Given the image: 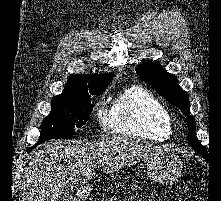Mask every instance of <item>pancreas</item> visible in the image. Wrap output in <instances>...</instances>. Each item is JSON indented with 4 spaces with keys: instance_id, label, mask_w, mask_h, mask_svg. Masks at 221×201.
<instances>
[{
    "instance_id": "1",
    "label": "pancreas",
    "mask_w": 221,
    "mask_h": 201,
    "mask_svg": "<svg viewBox=\"0 0 221 201\" xmlns=\"http://www.w3.org/2000/svg\"><path fill=\"white\" fill-rule=\"evenodd\" d=\"M109 201H115V199L114 198H110Z\"/></svg>"
}]
</instances>
